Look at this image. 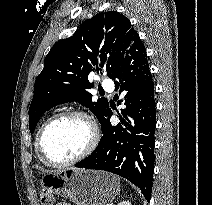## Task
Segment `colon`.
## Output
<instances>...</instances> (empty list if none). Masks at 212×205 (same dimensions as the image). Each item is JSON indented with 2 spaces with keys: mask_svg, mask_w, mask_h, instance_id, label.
<instances>
[{
  "mask_svg": "<svg viewBox=\"0 0 212 205\" xmlns=\"http://www.w3.org/2000/svg\"><path fill=\"white\" fill-rule=\"evenodd\" d=\"M41 205H53L54 197L48 190H43L40 195Z\"/></svg>",
  "mask_w": 212,
  "mask_h": 205,
  "instance_id": "1",
  "label": "colon"
}]
</instances>
